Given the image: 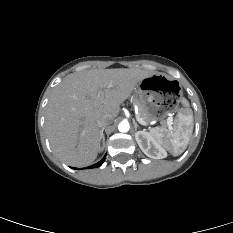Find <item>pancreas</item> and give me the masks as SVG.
<instances>
[{
	"label": "pancreas",
	"mask_w": 233,
	"mask_h": 233,
	"mask_svg": "<svg viewBox=\"0 0 233 233\" xmlns=\"http://www.w3.org/2000/svg\"><path fill=\"white\" fill-rule=\"evenodd\" d=\"M138 107H139V117L145 122L150 121L147 111L140 101H138Z\"/></svg>",
	"instance_id": "1"
}]
</instances>
